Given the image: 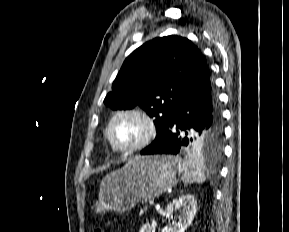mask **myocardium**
Instances as JSON below:
<instances>
[{
	"instance_id": "obj_1",
	"label": "myocardium",
	"mask_w": 289,
	"mask_h": 232,
	"mask_svg": "<svg viewBox=\"0 0 289 232\" xmlns=\"http://www.w3.org/2000/svg\"><path fill=\"white\" fill-rule=\"evenodd\" d=\"M132 115L139 118L145 125V134L140 141L133 145L123 146L118 144L113 137L115 121L122 117ZM158 126L155 118L146 110L139 107H130L118 110L111 118L107 127V136L111 146L120 152H135L147 147L157 136Z\"/></svg>"
}]
</instances>
